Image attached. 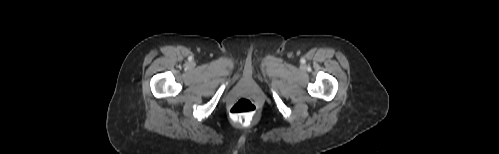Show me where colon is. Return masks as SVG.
Listing matches in <instances>:
<instances>
[{
	"label": "colon",
	"mask_w": 499,
	"mask_h": 154,
	"mask_svg": "<svg viewBox=\"0 0 499 154\" xmlns=\"http://www.w3.org/2000/svg\"><path fill=\"white\" fill-rule=\"evenodd\" d=\"M256 105L247 98H241L230 109L231 119L240 125H248L256 114Z\"/></svg>",
	"instance_id": "colon-1"
}]
</instances>
